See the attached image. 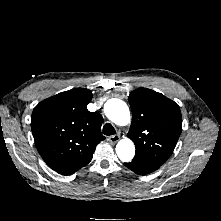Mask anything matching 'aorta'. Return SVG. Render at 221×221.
Returning a JSON list of instances; mask_svg holds the SVG:
<instances>
[{
  "mask_svg": "<svg viewBox=\"0 0 221 221\" xmlns=\"http://www.w3.org/2000/svg\"><path fill=\"white\" fill-rule=\"evenodd\" d=\"M104 111L109 120L119 126H126L131 120L127 104L120 99H110L106 102ZM116 154L122 162H129L135 155L134 143L128 139L120 140L116 145Z\"/></svg>",
  "mask_w": 221,
  "mask_h": 221,
  "instance_id": "1",
  "label": "aorta"
}]
</instances>
